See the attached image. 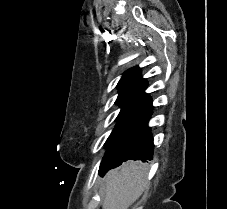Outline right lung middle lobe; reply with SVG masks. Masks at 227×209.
Segmentation results:
<instances>
[{
  "label": "right lung middle lobe",
  "mask_w": 227,
  "mask_h": 209,
  "mask_svg": "<svg viewBox=\"0 0 227 209\" xmlns=\"http://www.w3.org/2000/svg\"><path fill=\"white\" fill-rule=\"evenodd\" d=\"M119 105L122 109L116 119L118 123L105 143L109 148L100 165V171L103 173L111 166L113 155L146 128L152 114V108L134 105L130 102H122Z\"/></svg>",
  "instance_id": "1"
}]
</instances>
